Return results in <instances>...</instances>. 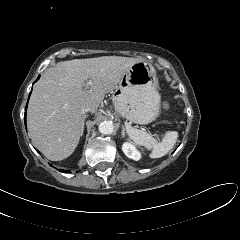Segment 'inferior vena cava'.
<instances>
[{
	"instance_id": "1",
	"label": "inferior vena cava",
	"mask_w": 240,
	"mask_h": 240,
	"mask_svg": "<svg viewBox=\"0 0 240 240\" xmlns=\"http://www.w3.org/2000/svg\"><path fill=\"white\" fill-rule=\"evenodd\" d=\"M90 111H92V108H91V107H88V106L83 107V108L81 109V113H82V114H85V113L90 112Z\"/></svg>"
}]
</instances>
